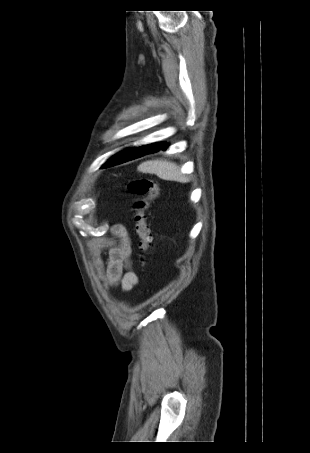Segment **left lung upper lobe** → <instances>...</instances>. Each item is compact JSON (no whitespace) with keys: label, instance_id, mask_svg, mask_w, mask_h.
Here are the masks:
<instances>
[{"label":"left lung upper lobe","instance_id":"5c2ea615","mask_svg":"<svg viewBox=\"0 0 310 453\" xmlns=\"http://www.w3.org/2000/svg\"><path fill=\"white\" fill-rule=\"evenodd\" d=\"M147 146V145H145ZM145 146H140L138 148H129L124 151H121L120 153L114 155L112 158H110L101 168H106L110 166H114L126 161L131 160L135 154H137L141 148Z\"/></svg>","mask_w":310,"mask_h":453}]
</instances>
